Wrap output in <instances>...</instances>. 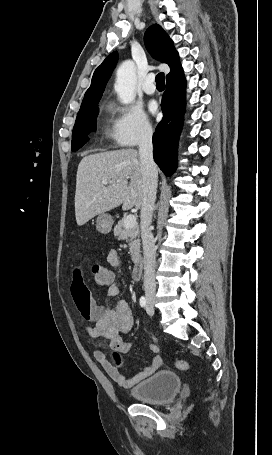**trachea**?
Masks as SVG:
<instances>
[{
    "label": "trachea",
    "instance_id": "3493384b",
    "mask_svg": "<svg viewBox=\"0 0 272 455\" xmlns=\"http://www.w3.org/2000/svg\"><path fill=\"white\" fill-rule=\"evenodd\" d=\"M156 86L157 87H165V77L164 73H159L156 75Z\"/></svg>",
    "mask_w": 272,
    "mask_h": 455
}]
</instances>
